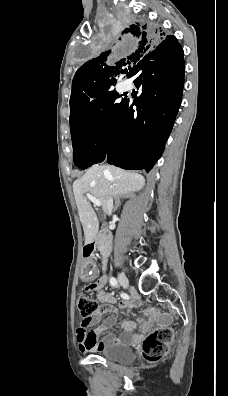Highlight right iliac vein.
Listing matches in <instances>:
<instances>
[{"label":"right iliac vein","mask_w":228,"mask_h":396,"mask_svg":"<svg viewBox=\"0 0 228 396\" xmlns=\"http://www.w3.org/2000/svg\"><path fill=\"white\" fill-rule=\"evenodd\" d=\"M118 280H119L120 284H121L124 288H126V287L129 286L128 278L125 276L124 273H119V274H118Z\"/></svg>","instance_id":"63e3f726"}]
</instances>
